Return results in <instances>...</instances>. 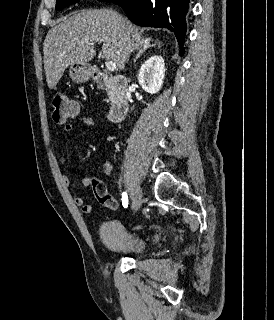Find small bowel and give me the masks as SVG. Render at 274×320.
I'll return each instance as SVG.
<instances>
[{
	"mask_svg": "<svg viewBox=\"0 0 274 320\" xmlns=\"http://www.w3.org/2000/svg\"><path fill=\"white\" fill-rule=\"evenodd\" d=\"M76 110L78 111V106H76ZM93 125V120L90 117H80L75 125H69L65 128V132L67 134H70L74 131L83 129V128H88ZM67 162V153L66 150L63 148L60 152V165L62 167L65 166ZM102 175L104 176H109L112 173V163L110 160H106L103 163L102 166ZM96 176H86L83 178L81 184L84 187H88L92 184L93 180H96ZM62 182L66 188H70L72 186L71 179L69 175L63 170L62 171ZM74 203L75 205L79 206L81 208V211L84 214H91L93 212V205L90 203H86L84 200V197L81 195H77L74 197Z\"/></svg>",
	"mask_w": 274,
	"mask_h": 320,
	"instance_id": "1",
	"label": "small bowel"
}]
</instances>
